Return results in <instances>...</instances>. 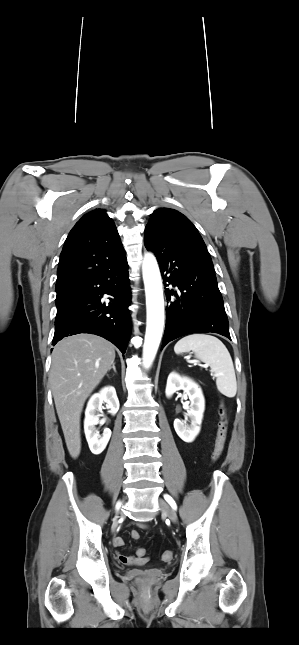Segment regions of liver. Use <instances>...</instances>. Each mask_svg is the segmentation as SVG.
<instances>
[{
    "instance_id": "1",
    "label": "liver",
    "mask_w": 299,
    "mask_h": 645,
    "mask_svg": "<svg viewBox=\"0 0 299 645\" xmlns=\"http://www.w3.org/2000/svg\"><path fill=\"white\" fill-rule=\"evenodd\" d=\"M114 360V346L93 334L67 337L53 349L49 380L67 449L74 459L81 451L80 417L84 403Z\"/></svg>"
}]
</instances>
